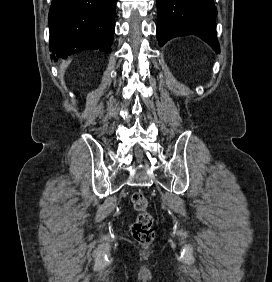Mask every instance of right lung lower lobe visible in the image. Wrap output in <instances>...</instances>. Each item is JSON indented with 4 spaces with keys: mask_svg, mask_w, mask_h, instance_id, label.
Here are the masks:
<instances>
[{
    "mask_svg": "<svg viewBox=\"0 0 272 282\" xmlns=\"http://www.w3.org/2000/svg\"><path fill=\"white\" fill-rule=\"evenodd\" d=\"M116 0H52L50 51L55 57L86 49L110 53Z\"/></svg>",
    "mask_w": 272,
    "mask_h": 282,
    "instance_id": "obj_1",
    "label": "right lung lower lobe"
}]
</instances>
